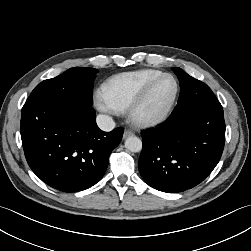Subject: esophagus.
Segmentation results:
<instances>
[{
	"instance_id": "1",
	"label": "esophagus",
	"mask_w": 251,
	"mask_h": 251,
	"mask_svg": "<svg viewBox=\"0 0 251 251\" xmlns=\"http://www.w3.org/2000/svg\"><path fill=\"white\" fill-rule=\"evenodd\" d=\"M134 133L131 131V130H125L124 131V134H123V138H127V137H130L132 136Z\"/></svg>"
}]
</instances>
